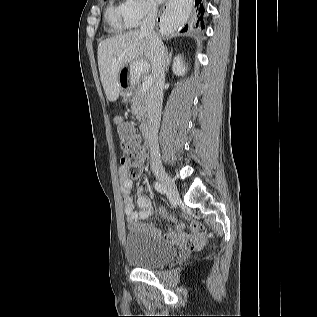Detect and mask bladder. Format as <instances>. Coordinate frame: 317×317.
Masks as SVG:
<instances>
[{
    "instance_id": "31cf9c89",
    "label": "bladder",
    "mask_w": 317,
    "mask_h": 317,
    "mask_svg": "<svg viewBox=\"0 0 317 317\" xmlns=\"http://www.w3.org/2000/svg\"><path fill=\"white\" fill-rule=\"evenodd\" d=\"M124 255L136 268L158 269L177 257L178 248L159 241L144 227H134L125 236Z\"/></svg>"
}]
</instances>
